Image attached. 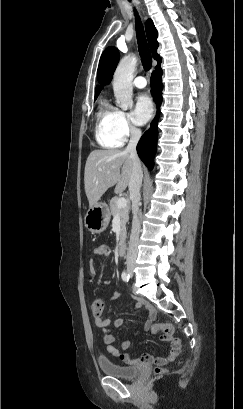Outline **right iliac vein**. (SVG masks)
Listing matches in <instances>:
<instances>
[{
    "instance_id": "63e3f726",
    "label": "right iliac vein",
    "mask_w": 243,
    "mask_h": 409,
    "mask_svg": "<svg viewBox=\"0 0 243 409\" xmlns=\"http://www.w3.org/2000/svg\"><path fill=\"white\" fill-rule=\"evenodd\" d=\"M128 272L132 273V267H128Z\"/></svg>"
}]
</instances>
